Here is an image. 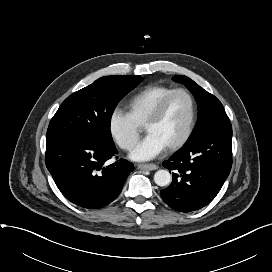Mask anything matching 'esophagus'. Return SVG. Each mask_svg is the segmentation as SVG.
I'll use <instances>...</instances> for the list:
<instances>
[{
    "mask_svg": "<svg viewBox=\"0 0 272 272\" xmlns=\"http://www.w3.org/2000/svg\"><path fill=\"white\" fill-rule=\"evenodd\" d=\"M137 168L140 170H156L158 166L155 164H138Z\"/></svg>",
    "mask_w": 272,
    "mask_h": 272,
    "instance_id": "obj_1",
    "label": "esophagus"
}]
</instances>
